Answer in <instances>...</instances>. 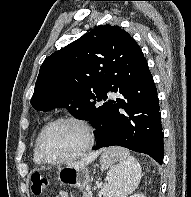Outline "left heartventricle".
<instances>
[{
  "label": "left heart ventricle",
  "mask_w": 191,
  "mask_h": 197,
  "mask_svg": "<svg viewBox=\"0 0 191 197\" xmlns=\"http://www.w3.org/2000/svg\"><path fill=\"white\" fill-rule=\"evenodd\" d=\"M86 142L84 130L72 122L58 123L42 138V151L50 159H62L80 151Z\"/></svg>",
  "instance_id": "b2bd125f"
}]
</instances>
